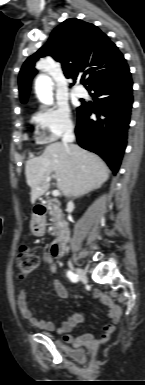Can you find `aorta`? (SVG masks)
Returning <instances> with one entry per match:
<instances>
[{
  "instance_id": "aorta-1",
  "label": "aorta",
  "mask_w": 145,
  "mask_h": 385,
  "mask_svg": "<svg viewBox=\"0 0 145 385\" xmlns=\"http://www.w3.org/2000/svg\"><path fill=\"white\" fill-rule=\"evenodd\" d=\"M35 92L39 101L50 105L53 103V82L49 76L39 75L35 81Z\"/></svg>"
}]
</instances>
